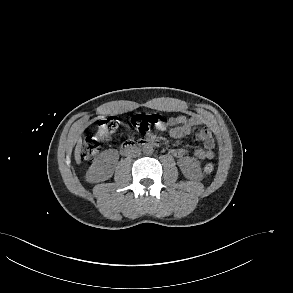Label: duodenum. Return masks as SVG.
Segmentation results:
<instances>
[{
    "mask_svg": "<svg viewBox=\"0 0 293 293\" xmlns=\"http://www.w3.org/2000/svg\"><path fill=\"white\" fill-rule=\"evenodd\" d=\"M157 143V139L152 136H147L146 138L139 141H126L121 145L120 153L124 156H129L137 149H141L147 146H156Z\"/></svg>",
    "mask_w": 293,
    "mask_h": 293,
    "instance_id": "1",
    "label": "duodenum"
}]
</instances>
